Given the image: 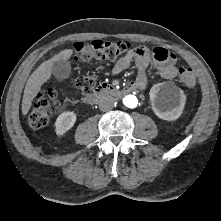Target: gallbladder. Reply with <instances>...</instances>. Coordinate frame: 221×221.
Instances as JSON below:
<instances>
[{
	"instance_id": "gallbladder-1",
	"label": "gallbladder",
	"mask_w": 221,
	"mask_h": 221,
	"mask_svg": "<svg viewBox=\"0 0 221 221\" xmlns=\"http://www.w3.org/2000/svg\"><path fill=\"white\" fill-rule=\"evenodd\" d=\"M52 73L58 81H62L69 77L71 66L67 61L57 60L53 63Z\"/></svg>"
}]
</instances>
